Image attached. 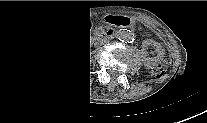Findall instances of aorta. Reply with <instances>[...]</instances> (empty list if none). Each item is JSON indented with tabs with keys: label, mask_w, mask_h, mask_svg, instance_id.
<instances>
[{
	"label": "aorta",
	"mask_w": 207,
	"mask_h": 123,
	"mask_svg": "<svg viewBox=\"0 0 207 123\" xmlns=\"http://www.w3.org/2000/svg\"><path fill=\"white\" fill-rule=\"evenodd\" d=\"M120 40L125 43H133L135 41V35L130 30L122 31L120 33Z\"/></svg>",
	"instance_id": "1"
}]
</instances>
